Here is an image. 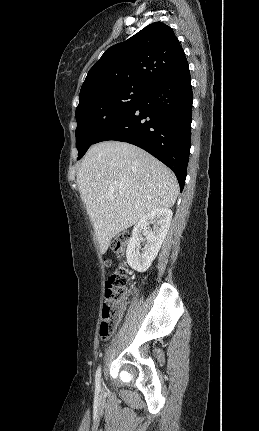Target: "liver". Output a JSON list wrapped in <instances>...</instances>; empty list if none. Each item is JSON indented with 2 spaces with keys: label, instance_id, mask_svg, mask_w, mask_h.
<instances>
[{
  "label": "liver",
  "instance_id": "6515ba94",
  "mask_svg": "<svg viewBox=\"0 0 259 431\" xmlns=\"http://www.w3.org/2000/svg\"><path fill=\"white\" fill-rule=\"evenodd\" d=\"M77 183L102 254L113 237L144 215L172 207L179 193L168 167L143 149L119 141L93 145L81 162Z\"/></svg>",
  "mask_w": 259,
  "mask_h": 431
}]
</instances>
